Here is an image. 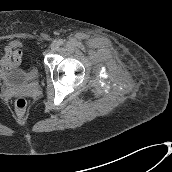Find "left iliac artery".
I'll use <instances>...</instances> for the list:
<instances>
[{
	"label": "left iliac artery",
	"instance_id": "44dca946",
	"mask_svg": "<svg viewBox=\"0 0 172 172\" xmlns=\"http://www.w3.org/2000/svg\"><path fill=\"white\" fill-rule=\"evenodd\" d=\"M58 42L60 43V45H62V44H64L65 40L64 39H60Z\"/></svg>",
	"mask_w": 172,
	"mask_h": 172
}]
</instances>
